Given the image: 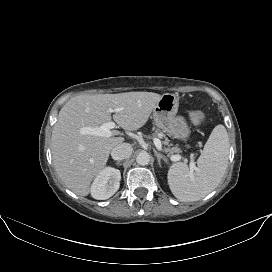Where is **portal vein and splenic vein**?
Wrapping results in <instances>:
<instances>
[{
	"label": "portal vein and splenic vein",
	"mask_w": 272,
	"mask_h": 272,
	"mask_svg": "<svg viewBox=\"0 0 272 272\" xmlns=\"http://www.w3.org/2000/svg\"><path fill=\"white\" fill-rule=\"evenodd\" d=\"M121 109L115 108V109H109V112H119ZM116 125L114 122H106L103 123L99 127H84L80 130L82 134H90V135H96V136H105V137H110L112 136V131L111 129L115 128ZM154 144L158 150H162V144L161 141L158 138L154 139ZM181 159L180 155H173L171 156L172 161H179ZM190 169L191 171H194L197 169L195 166V162L193 160L190 161Z\"/></svg>",
	"instance_id": "portal-vein-and-splenic-vein-1"
}]
</instances>
